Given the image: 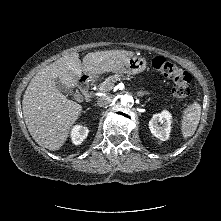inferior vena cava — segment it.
<instances>
[{
    "instance_id": "1",
    "label": "inferior vena cava",
    "mask_w": 221,
    "mask_h": 221,
    "mask_svg": "<svg viewBox=\"0 0 221 221\" xmlns=\"http://www.w3.org/2000/svg\"><path fill=\"white\" fill-rule=\"evenodd\" d=\"M112 102V98L110 96H104L98 99L97 105L100 107L108 106Z\"/></svg>"
}]
</instances>
